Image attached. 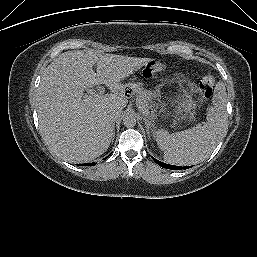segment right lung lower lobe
Here are the masks:
<instances>
[{
  "label": "right lung lower lobe",
  "instance_id": "right-lung-lower-lobe-1",
  "mask_svg": "<svg viewBox=\"0 0 257 257\" xmlns=\"http://www.w3.org/2000/svg\"><path fill=\"white\" fill-rule=\"evenodd\" d=\"M106 159V158H105ZM95 163H89V164H87V166H90V165H94Z\"/></svg>",
  "mask_w": 257,
  "mask_h": 257
}]
</instances>
